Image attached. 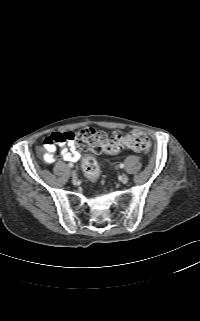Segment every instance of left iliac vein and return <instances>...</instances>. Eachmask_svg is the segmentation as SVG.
I'll list each match as a JSON object with an SVG mask.
<instances>
[{"label": "left iliac vein", "mask_w": 200, "mask_h": 321, "mask_svg": "<svg viewBox=\"0 0 200 321\" xmlns=\"http://www.w3.org/2000/svg\"><path fill=\"white\" fill-rule=\"evenodd\" d=\"M128 180H129V179H128V176H127L126 174H122V175H121V182H122V183L125 184V183L128 182Z\"/></svg>", "instance_id": "obj_1"}]
</instances>
